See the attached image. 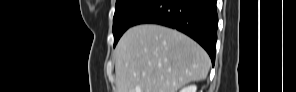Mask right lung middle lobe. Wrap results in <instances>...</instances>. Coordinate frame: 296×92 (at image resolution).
I'll use <instances>...</instances> for the list:
<instances>
[{"label":"right lung middle lobe","mask_w":296,"mask_h":92,"mask_svg":"<svg viewBox=\"0 0 296 92\" xmlns=\"http://www.w3.org/2000/svg\"><path fill=\"white\" fill-rule=\"evenodd\" d=\"M154 0H116L113 18L114 47L122 34Z\"/></svg>","instance_id":"right-lung-middle-lobe-1"}]
</instances>
